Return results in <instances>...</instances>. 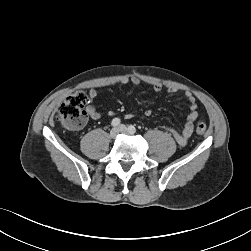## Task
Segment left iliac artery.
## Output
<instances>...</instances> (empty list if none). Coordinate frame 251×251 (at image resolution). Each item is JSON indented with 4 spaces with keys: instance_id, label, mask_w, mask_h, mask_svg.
I'll use <instances>...</instances> for the list:
<instances>
[{
    "instance_id": "obj_1",
    "label": "left iliac artery",
    "mask_w": 251,
    "mask_h": 251,
    "mask_svg": "<svg viewBox=\"0 0 251 251\" xmlns=\"http://www.w3.org/2000/svg\"><path fill=\"white\" fill-rule=\"evenodd\" d=\"M128 129H129V131H130L132 134H134V133L136 132V128H135L133 125H130V126L128 127Z\"/></svg>"
}]
</instances>
